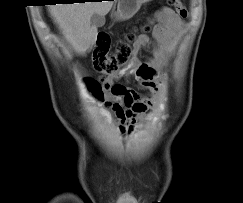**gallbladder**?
Masks as SVG:
<instances>
[{
  "instance_id": "obj_1",
  "label": "gallbladder",
  "mask_w": 243,
  "mask_h": 203,
  "mask_svg": "<svg viewBox=\"0 0 243 203\" xmlns=\"http://www.w3.org/2000/svg\"><path fill=\"white\" fill-rule=\"evenodd\" d=\"M91 24L95 27H102L105 24V17L94 13L91 17Z\"/></svg>"
}]
</instances>
